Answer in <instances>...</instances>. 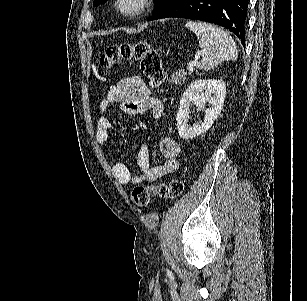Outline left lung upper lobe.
I'll list each match as a JSON object with an SVG mask.
<instances>
[{"label": "left lung upper lobe", "instance_id": "obj_1", "mask_svg": "<svg viewBox=\"0 0 307 301\" xmlns=\"http://www.w3.org/2000/svg\"><path fill=\"white\" fill-rule=\"evenodd\" d=\"M107 0H94L93 6H99L100 4L105 3ZM156 2V7L154 15L150 20L157 19L166 9L172 6L177 0H154Z\"/></svg>", "mask_w": 307, "mask_h": 301}]
</instances>
